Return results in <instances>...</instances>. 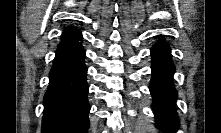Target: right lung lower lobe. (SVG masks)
Listing matches in <instances>:
<instances>
[{"instance_id": "obj_1", "label": "right lung lower lobe", "mask_w": 221, "mask_h": 133, "mask_svg": "<svg viewBox=\"0 0 221 133\" xmlns=\"http://www.w3.org/2000/svg\"><path fill=\"white\" fill-rule=\"evenodd\" d=\"M79 37L58 45L44 96L42 133H86L89 128L87 68Z\"/></svg>"}]
</instances>
